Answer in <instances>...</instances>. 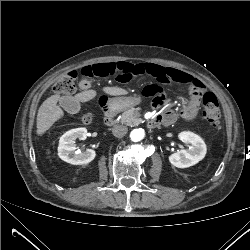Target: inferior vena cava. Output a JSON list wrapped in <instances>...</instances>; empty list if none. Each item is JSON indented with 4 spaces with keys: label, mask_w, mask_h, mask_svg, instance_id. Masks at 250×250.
Instances as JSON below:
<instances>
[{
    "label": "inferior vena cava",
    "mask_w": 250,
    "mask_h": 250,
    "mask_svg": "<svg viewBox=\"0 0 250 250\" xmlns=\"http://www.w3.org/2000/svg\"><path fill=\"white\" fill-rule=\"evenodd\" d=\"M128 132V128L125 125H116L112 129V133L116 137H123Z\"/></svg>",
    "instance_id": "inferior-vena-cava-1"
}]
</instances>
